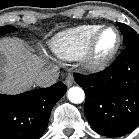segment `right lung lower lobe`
Masks as SVG:
<instances>
[{"label":"right lung lower lobe","mask_w":139,"mask_h":139,"mask_svg":"<svg viewBox=\"0 0 139 139\" xmlns=\"http://www.w3.org/2000/svg\"><path fill=\"white\" fill-rule=\"evenodd\" d=\"M66 90V86L58 82L19 95L0 94V139L40 138L53 106Z\"/></svg>","instance_id":"98d812e1"}]
</instances>
